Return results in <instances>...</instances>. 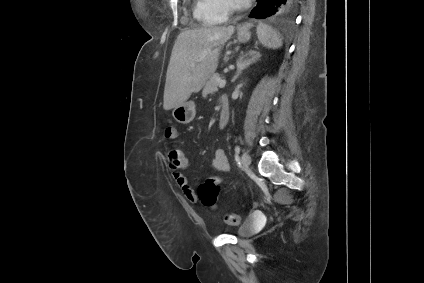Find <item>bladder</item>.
<instances>
[{"label":"bladder","instance_id":"31cf9c89","mask_svg":"<svg viewBox=\"0 0 424 283\" xmlns=\"http://www.w3.org/2000/svg\"><path fill=\"white\" fill-rule=\"evenodd\" d=\"M260 229V223L254 216H248L238 228L236 234L239 237L245 238L255 234Z\"/></svg>","mask_w":424,"mask_h":283}]
</instances>
